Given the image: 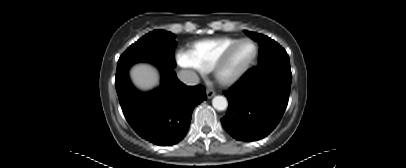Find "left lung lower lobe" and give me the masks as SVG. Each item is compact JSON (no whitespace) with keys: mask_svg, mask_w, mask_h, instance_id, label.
Here are the masks:
<instances>
[{"mask_svg":"<svg viewBox=\"0 0 406 168\" xmlns=\"http://www.w3.org/2000/svg\"><path fill=\"white\" fill-rule=\"evenodd\" d=\"M290 66L265 63L249 69L224 94L229 107L221 119L225 130L242 141L260 140L279 123L288 104Z\"/></svg>","mask_w":406,"mask_h":168,"instance_id":"obj_1","label":"left lung lower lobe"}]
</instances>
